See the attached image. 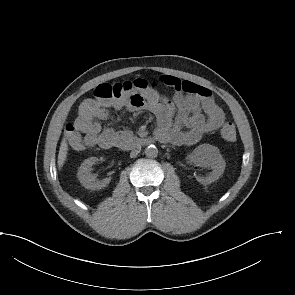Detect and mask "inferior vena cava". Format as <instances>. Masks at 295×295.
<instances>
[{"label":"inferior vena cava","instance_id":"obj_1","mask_svg":"<svg viewBox=\"0 0 295 295\" xmlns=\"http://www.w3.org/2000/svg\"><path fill=\"white\" fill-rule=\"evenodd\" d=\"M141 150V146L140 145H135L133 148H132V151L130 153V157L131 158H134L138 155V153L140 152Z\"/></svg>","mask_w":295,"mask_h":295}]
</instances>
